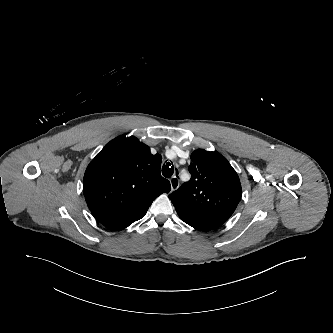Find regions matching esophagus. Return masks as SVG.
Returning <instances> with one entry per match:
<instances>
[{"label":"esophagus","instance_id":"obj_1","mask_svg":"<svg viewBox=\"0 0 333 333\" xmlns=\"http://www.w3.org/2000/svg\"><path fill=\"white\" fill-rule=\"evenodd\" d=\"M170 185H171V190L174 191L178 188L179 186V179L178 177L175 175L170 179Z\"/></svg>","mask_w":333,"mask_h":333}]
</instances>
